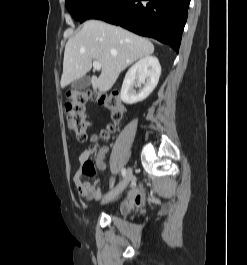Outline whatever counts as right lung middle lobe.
Segmentation results:
<instances>
[{"label": "right lung middle lobe", "instance_id": "obj_1", "mask_svg": "<svg viewBox=\"0 0 247 265\" xmlns=\"http://www.w3.org/2000/svg\"><path fill=\"white\" fill-rule=\"evenodd\" d=\"M99 0H66V8L75 20L80 21L83 15Z\"/></svg>", "mask_w": 247, "mask_h": 265}]
</instances>
